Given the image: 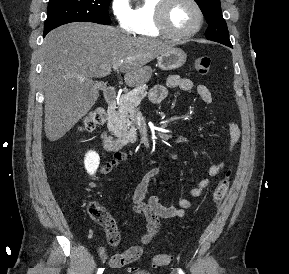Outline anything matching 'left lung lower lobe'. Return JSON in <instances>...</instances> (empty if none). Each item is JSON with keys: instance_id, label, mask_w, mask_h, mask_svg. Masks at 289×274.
Masks as SVG:
<instances>
[{"instance_id": "1", "label": "left lung lower lobe", "mask_w": 289, "mask_h": 274, "mask_svg": "<svg viewBox=\"0 0 289 274\" xmlns=\"http://www.w3.org/2000/svg\"><path fill=\"white\" fill-rule=\"evenodd\" d=\"M225 45V44H224ZM226 46H229V47H231L232 48V44H226Z\"/></svg>"}]
</instances>
